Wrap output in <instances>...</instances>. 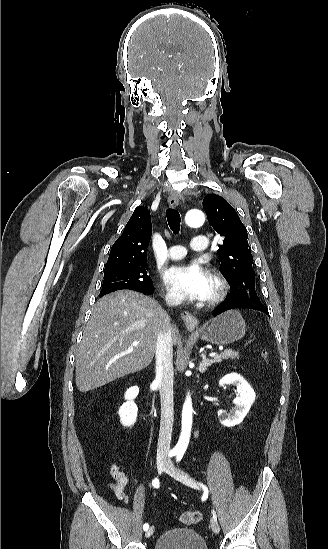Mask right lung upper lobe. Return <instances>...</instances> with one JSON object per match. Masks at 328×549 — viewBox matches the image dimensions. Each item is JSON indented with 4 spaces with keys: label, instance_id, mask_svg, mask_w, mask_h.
<instances>
[{
    "label": "right lung upper lobe",
    "instance_id": "obj_1",
    "mask_svg": "<svg viewBox=\"0 0 328 549\" xmlns=\"http://www.w3.org/2000/svg\"><path fill=\"white\" fill-rule=\"evenodd\" d=\"M151 234L150 211L146 207H137L112 246L105 271L146 263Z\"/></svg>",
    "mask_w": 328,
    "mask_h": 549
}]
</instances>
